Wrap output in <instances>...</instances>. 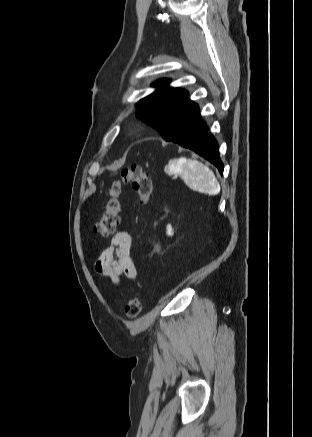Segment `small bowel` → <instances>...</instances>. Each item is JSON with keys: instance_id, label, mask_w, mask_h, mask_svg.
<instances>
[{"instance_id": "1", "label": "small bowel", "mask_w": 312, "mask_h": 437, "mask_svg": "<svg viewBox=\"0 0 312 437\" xmlns=\"http://www.w3.org/2000/svg\"><path fill=\"white\" fill-rule=\"evenodd\" d=\"M95 271L118 281L124 275L136 280L137 271L131 255V236L126 231L117 232L95 262Z\"/></svg>"}]
</instances>
